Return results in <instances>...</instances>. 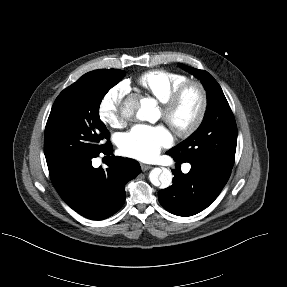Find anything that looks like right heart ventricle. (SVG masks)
Here are the masks:
<instances>
[{"label": "right heart ventricle", "mask_w": 287, "mask_h": 287, "mask_svg": "<svg viewBox=\"0 0 287 287\" xmlns=\"http://www.w3.org/2000/svg\"><path fill=\"white\" fill-rule=\"evenodd\" d=\"M187 80L184 74L178 72L153 70L142 74L137 82L144 91L163 104L172 92Z\"/></svg>", "instance_id": "1"}]
</instances>
